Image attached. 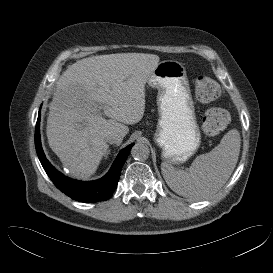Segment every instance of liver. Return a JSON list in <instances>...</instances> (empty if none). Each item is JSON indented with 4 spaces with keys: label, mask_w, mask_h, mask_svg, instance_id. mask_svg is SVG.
I'll return each instance as SVG.
<instances>
[{
    "label": "liver",
    "mask_w": 273,
    "mask_h": 273,
    "mask_svg": "<svg viewBox=\"0 0 273 273\" xmlns=\"http://www.w3.org/2000/svg\"><path fill=\"white\" fill-rule=\"evenodd\" d=\"M154 54L117 53L81 59L60 76L49 106L46 135L53 152L77 178L94 174L108 152L107 137L128 133L145 110V84ZM100 109L109 119L100 115Z\"/></svg>",
    "instance_id": "1"
}]
</instances>
